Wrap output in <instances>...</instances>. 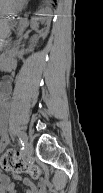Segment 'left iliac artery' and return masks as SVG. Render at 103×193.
<instances>
[{
    "label": "left iliac artery",
    "mask_w": 103,
    "mask_h": 193,
    "mask_svg": "<svg viewBox=\"0 0 103 193\" xmlns=\"http://www.w3.org/2000/svg\"><path fill=\"white\" fill-rule=\"evenodd\" d=\"M17 136H18V139H19V142L21 143V145L24 146V139H25L24 134L22 132H18Z\"/></svg>",
    "instance_id": "left-iliac-artery-1"
}]
</instances>
